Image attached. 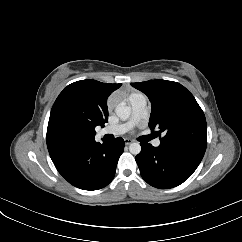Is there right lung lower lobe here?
I'll list each match as a JSON object with an SVG mask.
<instances>
[{
  "mask_svg": "<svg viewBox=\"0 0 242 242\" xmlns=\"http://www.w3.org/2000/svg\"><path fill=\"white\" fill-rule=\"evenodd\" d=\"M124 151V140L81 145L53 161L58 172L72 185L84 190L107 186L115 175L116 165Z\"/></svg>",
  "mask_w": 242,
  "mask_h": 242,
  "instance_id": "obj_1",
  "label": "right lung lower lobe"
}]
</instances>
